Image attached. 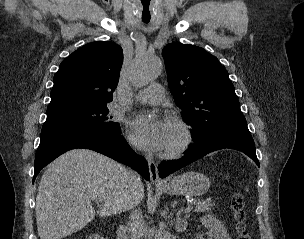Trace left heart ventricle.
Listing matches in <instances>:
<instances>
[{
  "mask_svg": "<svg viewBox=\"0 0 304 239\" xmlns=\"http://www.w3.org/2000/svg\"><path fill=\"white\" fill-rule=\"evenodd\" d=\"M179 139H180L179 131L177 127L174 125L165 149L175 145L179 141Z\"/></svg>",
  "mask_w": 304,
  "mask_h": 239,
  "instance_id": "b2bd125f",
  "label": "left heart ventricle"
}]
</instances>
